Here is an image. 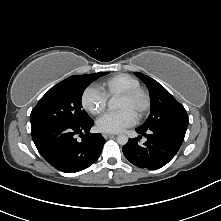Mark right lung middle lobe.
<instances>
[{"instance_id": "right-lung-middle-lobe-1", "label": "right lung middle lobe", "mask_w": 221, "mask_h": 221, "mask_svg": "<svg viewBox=\"0 0 221 221\" xmlns=\"http://www.w3.org/2000/svg\"><path fill=\"white\" fill-rule=\"evenodd\" d=\"M106 74L108 72L71 76L53 86L32 109L31 126L51 122L81 124L90 120L82 109L83 91L92 81Z\"/></svg>"}]
</instances>
